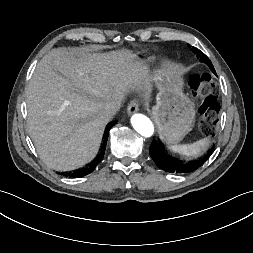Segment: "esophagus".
<instances>
[{
  "label": "esophagus",
  "instance_id": "34e87169",
  "mask_svg": "<svg viewBox=\"0 0 253 253\" xmlns=\"http://www.w3.org/2000/svg\"><path fill=\"white\" fill-rule=\"evenodd\" d=\"M139 110V106L138 103L135 100L130 101V103L128 104L127 107V112L129 115L134 114L136 112H138Z\"/></svg>",
  "mask_w": 253,
  "mask_h": 253
}]
</instances>
